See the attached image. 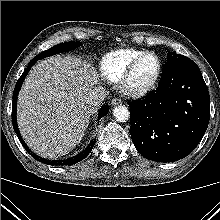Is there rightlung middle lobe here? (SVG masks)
<instances>
[{
	"label": "right lung middle lobe",
	"instance_id": "obj_1",
	"mask_svg": "<svg viewBox=\"0 0 220 220\" xmlns=\"http://www.w3.org/2000/svg\"><path fill=\"white\" fill-rule=\"evenodd\" d=\"M80 44L78 42H65V43H60L58 45H55L54 47L38 54L34 59L39 60L51 55H55L61 52H66L70 51L72 49H75L79 46Z\"/></svg>",
	"mask_w": 220,
	"mask_h": 220
}]
</instances>
